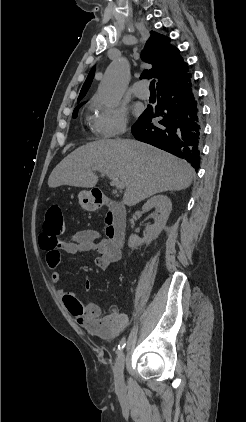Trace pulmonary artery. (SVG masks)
Returning <instances> with one entry per match:
<instances>
[{
  "label": "pulmonary artery",
  "instance_id": "pulmonary-artery-1",
  "mask_svg": "<svg viewBox=\"0 0 246 422\" xmlns=\"http://www.w3.org/2000/svg\"><path fill=\"white\" fill-rule=\"evenodd\" d=\"M134 94L141 99L149 98V90L145 81H138L133 85Z\"/></svg>",
  "mask_w": 246,
  "mask_h": 422
}]
</instances>
